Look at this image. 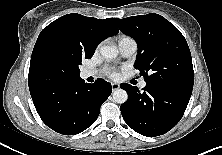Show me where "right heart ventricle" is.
Listing matches in <instances>:
<instances>
[{"label": "right heart ventricle", "instance_id": "1", "mask_svg": "<svg viewBox=\"0 0 222 155\" xmlns=\"http://www.w3.org/2000/svg\"><path fill=\"white\" fill-rule=\"evenodd\" d=\"M125 38H128V37H122L121 39H125ZM121 39H120V40H121Z\"/></svg>", "mask_w": 222, "mask_h": 155}]
</instances>
